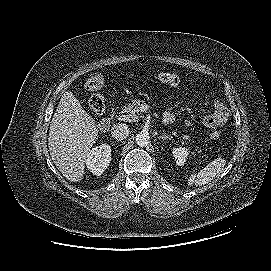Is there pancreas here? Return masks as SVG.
<instances>
[{
	"mask_svg": "<svg viewBox=\"0 0 271 271\" xmlns=\"http://www.w3.org/2000/svg\"><path fill=\"white\" fill-rule=\"evenodd\" d=\"M141 100L135 99L131 103H129L126 107H124L120 115L118 117V120L124 121V122H136L140 118V104ZM173 135H176V132H173ZM184 140H188L189 136H184Z\"/></svg>",
	"mask_w": 271,
	"mask_h": 271,
	"instance_id": "pancreas-1",
	"label": "pancreas"
}]
</instances>
